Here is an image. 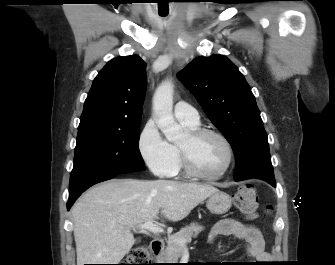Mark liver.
I'll return each mask as SVG.
<instances>
[{"label": "liver", "mask_w": 335, "mask_h": 265, "mask_svg": "<svg viewBox=\"0 0 335 265\" xmlns=\"http://www.w3.org/2000/svg\"><path fill=\"white\" fill-rule=\"evenodd\" d=\"M211 185L113 179L88 190L72 207L77 265L118 264L135 243L132 227L161 215L173 222L213 193Z\"/></svg>", "instance_id": "liver-1"}]
</instances>
